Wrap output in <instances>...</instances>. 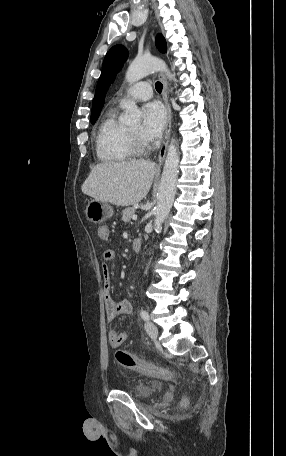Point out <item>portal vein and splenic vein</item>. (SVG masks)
Wrapping results in <instances>:
<instances>
[{
	"mask_svg": "<svg viewBox=\"0 0 286 456\" xmlns=\"http://www.w3.org/2000/svg\"><path fill=\"white\" fill-rule=\"evenodd\" d=\"M132 219H133V220H137V216H136V215H133V216H132Z\"/></svg>",
	"mask_w": 286,
	"mask_h": 456,
	"instance_id": "obj_1",
	"label": "portal vein and splenic vein"
}]
</instances>
